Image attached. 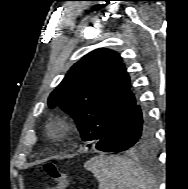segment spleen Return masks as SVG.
Instances as JSON below:
<instances>
[{
	"instance_id": "1",
	"label": "spleen",
	"mask_w": 188,
	"mask_h": 189,
	"mask_svg": "<svg viewBox=\"0 0 188 189\" xmlns=\"http://www.w3.org/2000/svg\"><path fill=\"white\" fill-rule=\"evenodd\" d=\"M84 167L99 182V189H154L152 177L135 162L122 158L96 156Z\"/></svg>"
}]
</instances>
